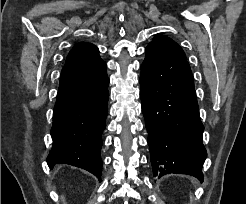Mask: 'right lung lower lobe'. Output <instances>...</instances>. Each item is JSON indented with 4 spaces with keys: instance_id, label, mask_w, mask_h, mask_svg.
I'll return each mask as SVG.
<instances>
[{
    "instance_id": "98d812e1",
    "label": "right lung lower lobe",
    "mask_w": 246,
    "mask_h": 204,
    "mask_svg": "<svg viewBox=\"0 0 246 204\" xmlns=\"http://www.w3.org/2000/svg\"><path fill=\"white\" fill-rule=\"evenodd\" d=\"M105 63L69 64L62 69L53 112L50 168L70 164L101 180V134L108 113Z\"/></svg>"
}]
</instances>
